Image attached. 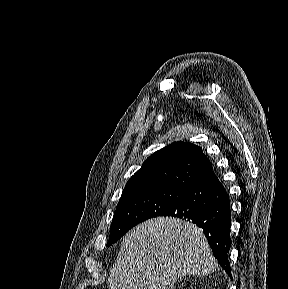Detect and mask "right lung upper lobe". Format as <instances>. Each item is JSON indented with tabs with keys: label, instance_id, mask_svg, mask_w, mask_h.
I'll list each match as a JSON object with an SVG mask.
<instances>
[{
	"label": "right lung upper lobe",
	"instance_id": "right-lung-upper-lobe-1",
	"mask_svg": "<svg viewBox=\"0 0 288 289\" xmlns=\"http://www.w3.org/2000/svg\"><path fill=\"white\" fill-rule=\"evenodd\" d=\"M210 171L212 165L199 146L175 142L147 158L123 192L155 187L187 190Z\"/></svg>",
	"mask_w": 288,
	"mask_h": 289
}]
</instances>
